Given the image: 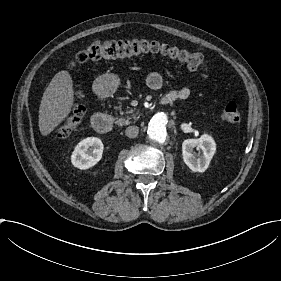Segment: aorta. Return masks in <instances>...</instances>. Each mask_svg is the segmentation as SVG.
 Segmentation results:
<instances>
[{
    "label": "aorta",
    "mask_w": 281,
    "mask_h": 281,
    "mask_svg": "<svg viewBox=\"0 0 281 281\" xmlns=\"http://www.w3.org/2000/svg\"><path fill=\"white\" fill-rule=\"evenodd\" d=\"M168 117L165 113H157L151 119L148 126L149 138L159 144H163L168 136Z\"/></svg>",
    "instance_id": "aorta-1"
}]
</instances>
